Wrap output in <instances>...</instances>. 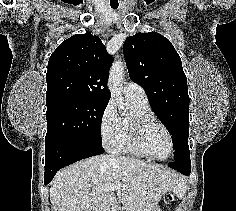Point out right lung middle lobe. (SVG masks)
I'll return each instance as SVG.
<instances>
[{
	"mask_svg": "<svg viewBox=\"0 0 236 211\" xmlns=\"http://www.w3.org/2000/svg\"><path fill=\"white\" fill-rule=\"evenodd\" d=\"M108 102L67 100L47 106L45 141L70 138L102 145L101 121Z\"/></svg>",
	"mask_w": 236,
	"mask_h": 211,
	"instance_id": "1",
	"label": "right lung middle lobe"
}]
</instances>
